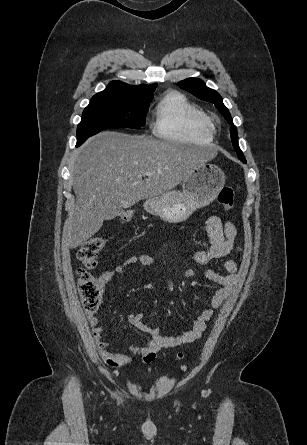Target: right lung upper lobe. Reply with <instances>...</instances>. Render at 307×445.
<instances>
[{
  "label": "right lung upper lobe",
  "mask_w": 307,
  "mask_h": 445,
  "mask_svg": "<svg viewBox=\"0 0 307 445\" xmlns=\"http://www.w3.org/2000/svg\"><path fill=\"white\" fill-rule=\"evenodd\" d=\"M157 84L131 86L121 81H112L107 88L96 95H113L120 97H129L141 100H149L153 98Z\"/></svg>",
  "instance_id": "1"
}]
</instances>
